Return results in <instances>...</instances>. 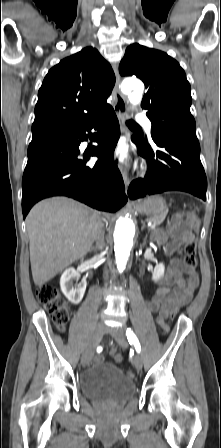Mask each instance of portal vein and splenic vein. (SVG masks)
I'll return each instance as SVG.
<instances>
[{"label": "portal vein and splenic vein", "mask_w": 221, "mask_h": 448, "mask_svg": "<svg viewBox=\"0 0 221 448\" xmlns=\"http://www.w3.org/2000/svg\"><path fill=\"white\" fill-rule=\"evenodd\" d=\"M148 226L151 228V229H153V228H155L156 227V225L155 224H153L152 222H148Z\"/></svg>", "instance_id": "portal-vein-and-splenic-vein-1"}]
</instances>
